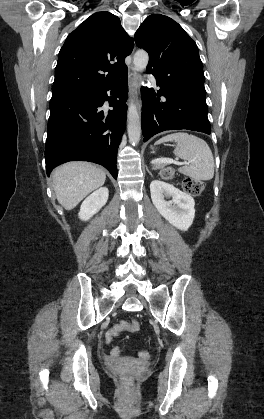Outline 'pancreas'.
<instances>
[{
  "mask_svg": "<svg viewBox=\"0 0 264 419\" xmlns=\"http://www.w3.org/2000/svg\"><path fill=\"white\" fill-rule=\"evenodd\" d=\"M164 167V164H157L155 167H154V169H159V168H163Z\"/></svg>",
  "mask_w": 264,
  "mask_h": 419,
  "instance_id": "obj_1",
  "label": "pancreas"
}]
</instances>
